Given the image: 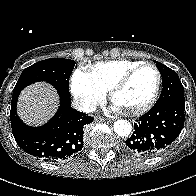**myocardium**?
<instances>
[{
	"instance_id": "1",
	"label": "myocardium",
	"mask_w": 196,
	"mask_h": 196,
	"mask_svg": "<svg viewBox=\"0 0 196 196\" xmlns=\"http://www.w3.org/2000/svg\"><path fill=\"white\" fill-rule=\"evenodd\" d=\"M143 68H152L157 75V82H156V86L154 89L153 94L151 95V97L149 98V100L132 109H128L127 112L133 115H137V114H141L146 112L147 110H149L154 103L156 102L159 93H160V89H161V85H162V74L160 72V70L158 69V67L152 63H141L137 66H135L134 68L130 69L129 71H127L124 75H122L111 87L110 89V98L112 101L115 102V97L117 95V93L123 89L128 82L131 80V78L141 69Z\"/></svg>"
}]
</instances>
